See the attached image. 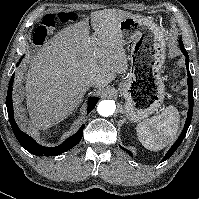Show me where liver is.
<instances>
[{
	"label": "liver",
	"instance_id": "liver-1",
	"mask_svg": "<svg viewBox=\"0 0 199 199\" xmlns=\"http://www.w3.org/2000/svg\"><path fill=\"white\" fill-rule=\"evenodd\" d=\"M130 12L104 9L72 24L28 54L25 96L35 130L57 125L80 103L85 83L94 80L99 89L125 73L128 62L119 33V23ZM20 118L22 116L18 112Z\"/></svg>",
	"mask_w": 199,
	"mask_h": 199
}]
</instances>
